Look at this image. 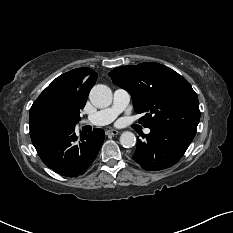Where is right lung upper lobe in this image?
<instances>
[{
	"instance_id": "cb5924a9",
	"label": "right lung upper lobe",
	"mask_w": 233,
	"mask_h": 233,
	"mask_svg": "<svg viewBox=\"0 0 233 233\" xmlns=\"http://www.w3.org/2000/svg\"><path fill=\"white\" fill-rule=\"evenodd\" d=\"M96 80L97 74L90 68H77L57 77L33 103L29 122H32L36 111L46 104H55L72 118L80 120V109L85 106Z\"/></svg>"
}]
</instances>
